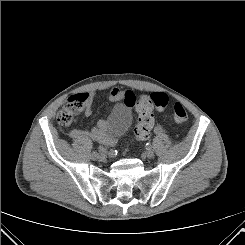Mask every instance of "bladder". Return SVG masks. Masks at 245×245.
<instances>
[{"mask_svg":"<svg viewBox=\"0 0 245 245\" xmlns=\"http://www.w3.org/2000/svg\"><path fill=\"white\" fill-rule=\"evenodd\" d=\"M131 114L124 107H116L113 109L109 118L106 120V133L112 138L117 139L122 136L131 124Z\"/></svg>","mask_w":245,"mask_h":245,"instance_id":"31cf9c89","label":"bladder"}]
</instances>
